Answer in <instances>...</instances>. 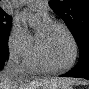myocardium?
I'll return each instance as SVG.
<instances>
[{
	"mask_svg": "<svg viewBox=\"0 0 89 89\" xmlns=\"http://www.w3.org/2000/svg\"><path fill=\"white\" fill-rule=\"evenodd\" d=\"M51 23L56 25V26L61 27L66 32L69 39L71 40V43H72V46H73V57H72L71 62L69 64L65 65V66H62V67L52 66L47 61V59H46V57H45V55L42 51L38 37L36 39V52H37L39 59L41 60V62L45 66V68L48 70V72L58 73V72H63V71L69 70L76 64L77 59H78V44H77V41H76L73 33L71 32V30L69 29V27L66 24H64L63 22L58 21V20H54Z\"/></svg>",
	"mask_w": 89,
	"mask_h": 89,
	"instance_id": "obj_1",
	"label": "myocardium"
}]
</instances>
